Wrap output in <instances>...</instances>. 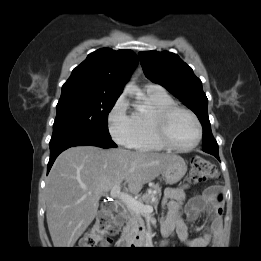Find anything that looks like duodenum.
I'll return each instance as SVG.
<instances>
[{
	"label": "duodenum",
	"instance_id": "1",
	"mask_svg": "<svg viewBox=\"0 0 261 261\" xmlns=\"http://www.w3.org/2000/svg\"><path fill=\"white\" fill-rule=\"evenodd\" d=\"M118 216L114 217L108 224L106 228V233L109 235H114L117 233L121 225L123 224V215L124 210L122 208H118ZM146 243V236L144 233H138L132 237L130 246L144 245Z\"/></svg>",
	"mask_w": 261,
	"mask_h": 261
}]
</instances>
